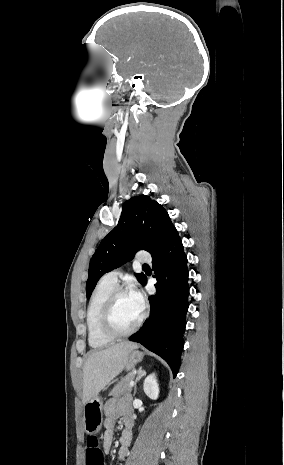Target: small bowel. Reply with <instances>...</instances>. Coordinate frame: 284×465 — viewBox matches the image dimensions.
<instances>
[{"label":"small bowel","instance_id":"small-bowel-1","mask_svg":"<svg viewBox=\"0 0 284 465\" xmlns=\"http://www.w3.org/2000/svg\"><path fill=\"white\" fill-rule=\"evenodd\" d=\"M104 412L105 431L103 434V449L106 453L110 451L113 443L116 422L121 419L125 426L120 436V447L118 451L119 465H124V460L132 441L131 415L129 412L128 400L110 398L104 405Z\"/></svg>","mask_w":284,"mask_h":465}]
</instances>
